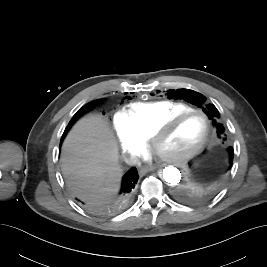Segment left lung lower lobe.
<instances>
[{
  "label": "left lung lower lobe",
  "instance_id": "1",
  "mask_svg": "<svg viewBox=\"0 0 267 267\" xmlns=\"http://www.w3.org/2000/svg\"><path fill=\"white\" fill-rule=\"evenodd\" d=\"M234 150L228 145H221L216 152H201L197 156V161L189 165V172L195 176L199 182L208 183L219 175H225L231 169Z\"/></svg>",
  "mask_w": 267,
  "mask_h": 267
}]
</instances>
